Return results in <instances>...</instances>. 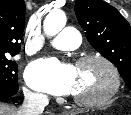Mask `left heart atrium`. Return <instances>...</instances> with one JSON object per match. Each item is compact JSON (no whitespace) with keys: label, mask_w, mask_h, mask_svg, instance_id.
<instances>
[{"label":"left heart atrium","mask_w":131,"mask_h":115,"mask_svg":"<svg viewBox=\"0 0 131 115\" xmlns=\"http://www.w3.org/2000/svg\"><path fill=\"white\" fill-rule=\"evenodd\" d=\"M27 83L35 89L54 95L71 94L75 89L76 68L54 58L40 59L26 71Z\"/></svg>","instance_id":"left-heart-atrium-1"}]
</instances>
